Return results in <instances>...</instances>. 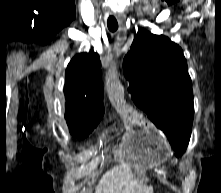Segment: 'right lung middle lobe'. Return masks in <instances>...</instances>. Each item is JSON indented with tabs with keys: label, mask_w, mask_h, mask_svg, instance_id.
<instances>
[{
	"label": "right lung middle lobe",
	"mask_w": 221,
	"mask_h": 193,
	"mask_svg": "<svg viewBox=\"0 0 221 193\" xmlns=\"http://www.w3.org/2000/svg\"><path fill=\"white\" fill-rule=\"evenodd\" d=\"M100 120L101 118H98L90 122L81 123L78 126H76L73 130H71V128L69 127L70 132L73 136L77 138H85L93 131V129L97 126Z\"/></svg>",
	"instance_id": "obj_1"
}]
</instances>
